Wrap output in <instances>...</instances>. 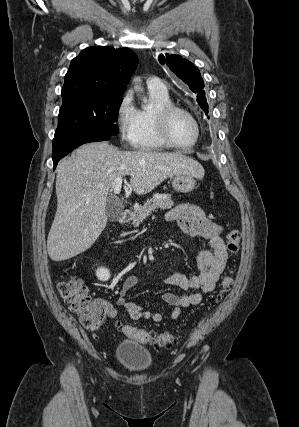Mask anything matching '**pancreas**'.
I'll use <instances>...</instances> for the list:
<instances>
[{"label": "pancreas", "mask_w": 299, "mask_h": 427, "mask_svg": "<svg viewBox=\"0 0 299 427\" xmlns=\"http://www.w3.org/2000/svg\"><path fill=\"white\" fill-rule=\"evenodd\" d=\"M172 206H174V201L172 200L171 195L154 194L143 206L138 208L132 225L134 227H138L150 215V213L157 208L166 210L172 208Z\"/></svg>", "instance_id": "pancreas-1"}]
</instances>
